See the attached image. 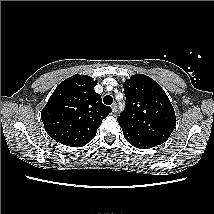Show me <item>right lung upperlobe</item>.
<instances>
[{"mask_svg":"<svg viewBox=\"0 0 214 214\" xmlns=\"http://www.w3.org/2000/svg\"><path fill=\"white\" fill-rule=\"evenodd\" d=\"M97 81L90 76L73 75L60 83L41 112L47 134L71 147H82L97 133L112 111L94 90Z\"/></svg>","mask_w":214,"mask_h":214,"instance_id":"right-lung-upper-lobe-1","label":"right lung upper lobe"}]
</instances>
